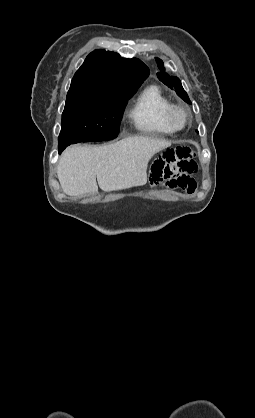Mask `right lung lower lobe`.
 Returning a JSON list of instances; mask_svg holds the SVG:
<instances>
[{
	"mask_svg": "<svg viewBox=\"0 0 255 418\" xmlns=\"http://www.w3.org/2000/svg\"><path fill=\"white\" fill-rule=\"evenodd\" d=\"M67 146L68 145H66V144L59 145V147H58L59 153H61Z\"/></svg>",
	"mask_w": 255,
	"mask_h": 418,
	"instance_id": "1",
	"label": "right lung lower lobe"
}]
</instances>
